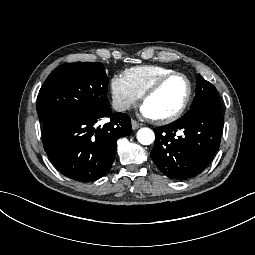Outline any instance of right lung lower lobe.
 <instances>
[{"label":"right lung lower lobe","mask_w":255,"mask_h":255,"mask_svg":"<svg viewBox=\"0 0 255 255\" xmlns=\"http://www.w3.org/2000/svg\"><path fill=\"white\" fill-rule=\"evenodd\" d=\"M110 122L98 126L101 117L77 112L43 123V145L52 164L66 177L91 182L101 178L116 156V142L132 132L130 117L109 111ZM97 123V124H96Z\"/></svg>","instance_id":"1"}]
</instances>
